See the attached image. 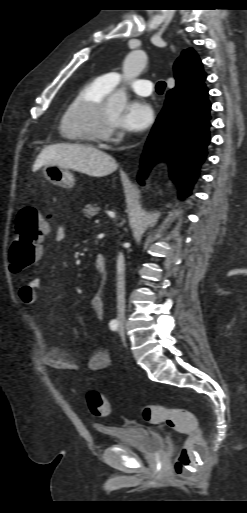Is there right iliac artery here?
Returning a JSON list of instances; mask_svg holds the SVG:
<instances>
[{
	"mask_svg": "<svg viewBox=\"0 0 247 513\" xmlns=\"http://www.w3.org/2000/svg\"><path fill=\"white\" fill-rule=\"evenodd\" d=\"M118 325H119V323L115 319L111 320L110 323H109L110 329L113 330V331H117Z\"/></svg>",
	"mask_w": 247,
	"mask_h": 513,
	"instance_id": "1",
	"label": "right iliac artery"
}]
</instances>
